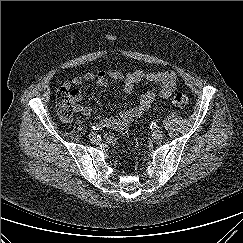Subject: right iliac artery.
Here are the masks:
<instances>
[{"instance_id": "obj_1", "label": "right iliac artery", "mask_w": 243, "mask_h": 243, "mask_svg": "<svg viewBox=\"0 0 243 243\" xmlns=\"http://www.w3.org/2000/svg\"><path fill=\"white\" fill-rule=\"evenodd\" d=\"M102 127L103 126L101 124H99V125L97 124V125L92 126V129L93 130H99V129H102Z\"/></svg>"}]
</instances>
